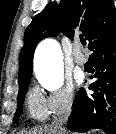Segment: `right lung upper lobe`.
Masks as SVG:
<instances>
[{
	"label": "right lung upper lobe",
	"mask_w": 116,
	"mask_h": 134,
	"mask_svg": "<svg viewBox=\"0 0 116 134\" xmlns=\"http://www.w3.org/2000/svg\"><path fill=\"white\" fill-rule=\"evenodd\" d=\"M62 31L68 38L86 36L92 50L116 34V9L112 0H61L49 3L37 14L24 35L19 57V92L30 82L33 55L44 38L55 37Z\"/></svg>",
	"instance_id": "obj_1"
}]
</instances>
